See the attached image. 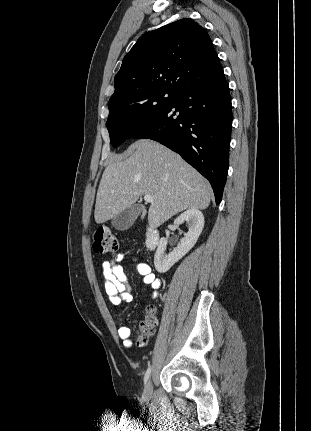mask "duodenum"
Here are the masks:
<instances>
[{
    "label": "duodenum",
    "instance_id": "duodenum-1",
    "mask_svg": "<svg viewBox=\"0 0 311 431\" xmlns=\"http://www.w3.org/2000/svg\"><path fill=\"white\" fill-rule=\"evenodd\" d=\"M159 243V232L156 228L149 227L146 231L145 245L149 250H153Z\"/></svg>",
    "mask_w": 311,
    "mask_h": 431
}]
</instances>
